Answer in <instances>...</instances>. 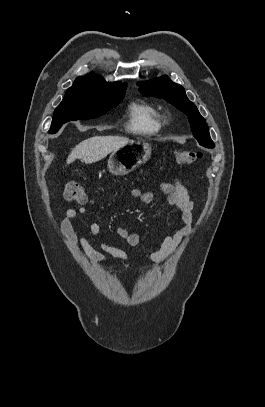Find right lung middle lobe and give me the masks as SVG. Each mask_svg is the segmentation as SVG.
Masks as SVG:
<instances>
[{
  "mask_svg": "<svg viewBox=\"0 0 265 407\" xmlns=\"http://www.w3.org/2000/svg\"><path fill=\"white\" fill-rule=\"evenodd\" d=\"M126 87L74 82L54 111L49 133H56L68 121L99 117L122 101Z\"/></svg>",
  "mask_w": 265,
  "mask_h": 407,
  "instance_id": "right-lung-middle-lobe-1",
  "label": "right lung middle lobe"
}]
</instances>
